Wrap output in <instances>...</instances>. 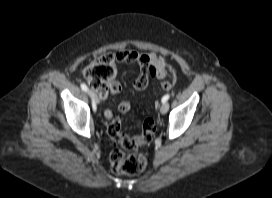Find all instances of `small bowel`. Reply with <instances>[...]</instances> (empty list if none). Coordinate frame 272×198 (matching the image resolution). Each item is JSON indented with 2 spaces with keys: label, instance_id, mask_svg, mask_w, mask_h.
I'll use <instances>...</instances> for the list:
<instances>
[{
  "label": "small bowel",
  "instance_id": "obj_1",
  "mask_svg": "<svg viewBox=\"0 0 272 198\" xmlns=\"http://www.w3.org/2000/svg\"><path fill=\"white\" fill-rule=\"evenodd\" d=\"M118 54L121 56L122 62L127 63H136L138 64L143 71L147 70L150 66L154 68V74L151 77L161 79L164 78L167 74V61L166 59L156 56L155 54L148 53H137L135 51L129 50H119ZM136 81V80H135ZM135 86V82H134ZM136 87V86H135ZM137 88V87H136ZM122 87L118 81H114L111 85V93L118 94L121 91ZM101 97L106 96L107 94H99ZM131 108L129 101H122L119 104V110L121 112H128ZM104 116L107 119L113 117V112L110 109L104 111Z\"/></svg>",
  "mask_w": 272,
  "mask_h": 198
}]
</instances>
